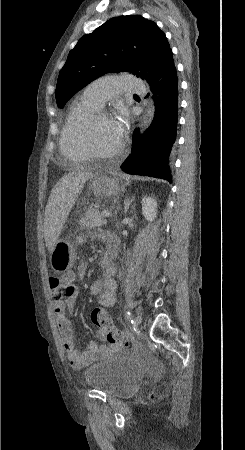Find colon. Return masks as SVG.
<instances>
[{
	"label": "colon",
	"mask_w": 245,
	"mask_h": 450,
	"mask_svg": "<svg viewBox=\"0 0 245 450\" xmlns=\"http://www.w3.org/2000/svg\"><path fill=\"white\" fill-rule=\"evenodd\" d=\"M68 282L69 278L66 276L62 279ZM91 321L99 329L105 333L106 339L111 343L126 346L128 344L127 336L118 330L114 325L109 314L102 308H94L91 312ZM154 395H152L153 397Z\"/></svg>",
	"instance_id": "5ec220e1"
}]
</instances>
